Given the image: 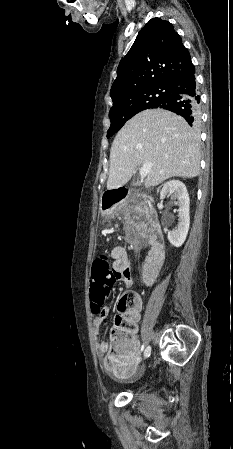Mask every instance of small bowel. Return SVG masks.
Segmentation results:
<instances>
[{"label": "small bowel", "mask_w": 233, "mask_h": 449, "mask_svg": "<svg viewBox=\"0 0 233 449\" xmlns=\"http://www.w3.org/2000/svg\"><path fill=\"white\" fill-rule=\"evenodd\" d=\"M110 257L113 261L111 268L112 284L117 280H121L125 285L131 286L133 284L132 266L125 249L120 246L113 247L110 252ZM141 279L146 286H150L155 281L156 274L155 272H142ZM109 313L110 309L103 307L100 313L93 319L92 329L95 338L96 354L101 360L102 365L109 366L107 363L111 361L113 364L109 367L112 372L119 378H126L134 373L140 358L138 340L136 334H133L127 350L120 352L114 351L112 354L106 356L110 348L109 342L101 341L98 338V334L100 326L109 316Z\"/></svg>", "instance_id": "small-bowel-1"}]
</instances>
